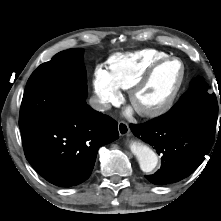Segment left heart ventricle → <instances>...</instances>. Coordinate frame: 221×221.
Masks as SVG:
<instances>
[{"label":"left heart ventricle","mask_w":221,"mask_h":221,"mask_svg":"<svg viewBox=\"0 0 221 221\" xmlns=\"http://www.w3.org/2000/svg\"><path fill=\"white\" fill-rule=\"evenodd\" d=\"M182 67L179 62H170L160 67L149 83L135 97L140 108H154L164 103L179 83Z\"/></svg>","instance_id":"b2bd125f"}]
</instances>
